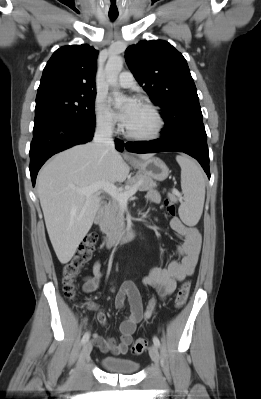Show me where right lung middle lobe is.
<instances>
[{
    "instance_id": "right-lung-middle-lobe-1",
    "label": "right lung middle lobe",
    "mask_w": 261,
    "mask_h": 399,
    "mask_svg": "<svg viewBox=\"0 0 261 399\" xmlns=\"http://www.w3.org/2000/svg\"><path fill=\"white\" fill-rule=\"evenodd\" d=\"M95 95L52 94L36 98L35 119L66 117L87 127H95Z\"/></svg>"
}]
</instances>
